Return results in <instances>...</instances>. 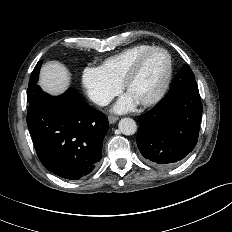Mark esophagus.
Here are the masks:
<instances>
[{"instance_id": "obj_1", "label": "esophagus", "mask_w": 232, "mask_h": 232, "mask_svg": "<svg viewBox=\"0 0 232 232\" xmlns=\"http://www.w3.org/2000/svg\"><path fill=\"white\" fill-rule=\"evenodd\" d=\"M118 120V117L116 116H109L108 121L110 124H114Z\"/></svg>"}]
</instances>
